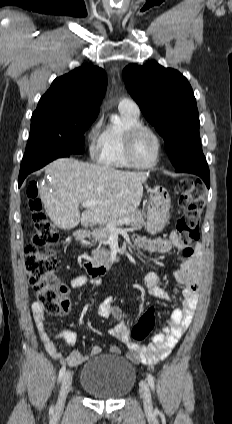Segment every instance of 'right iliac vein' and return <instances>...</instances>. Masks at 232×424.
I'll return each instance as SVG.
<instances>
[{"label":"right iliac vein","mask_w":232,"mask_h":424,"mask_svg":"<svg viewBox=\"0 0 232 424\" xmlns=\"http://www.w3.org/2000/svg\"><path fill=\"white\" fill-rule=\"evenodd\" d=\"M71 384H72V375L70 372H67L61 383V388H60V392H59V396H58V400H57V404L55 408L56 412H61L64 409L66 397L70 391Z\"/></svg>","instance_id":"1"}]
</instances>
